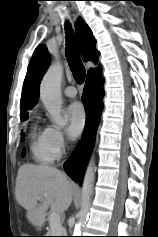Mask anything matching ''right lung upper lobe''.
<instances>
[{"label": "right lung upper lobe", "mask_w": 158, "mask_h": 237, "mask_svg": "<svg viewBox=\"0 0 158 237\" xmlns=\"http://www.w3.org/2000/svg\"><path fill=\"white\" fill-rule=\"evenodd\" d=\"M76 43L82 58L85 61L93 59L97 62L99 53L95 49L96 40L93 37L91 29L80 17L76 27ZM51 62V57L44 45H39L31 58L28 66L26 78L24 81L20 107L22 109L20 117L28 116L29 110L33 108L39 98V84ZM97 71L90 69L87 76Z\"/></svg>", "instance_id": "obj_1"}]
</instances>
